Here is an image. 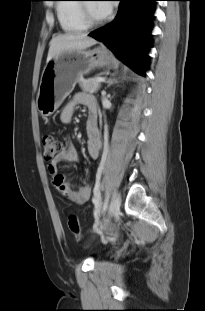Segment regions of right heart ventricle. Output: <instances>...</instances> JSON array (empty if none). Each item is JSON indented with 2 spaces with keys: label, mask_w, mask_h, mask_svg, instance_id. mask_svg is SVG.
I'll return each instance as SVG.
<instances>
[{
  "label": "right heart ventricle",
  "mask_w": 205,
  "mask_h": 311,
  "mask_svg": "<svg viewBox=\"0 0 205 311\" xmlns=\"http://www.w3.org/2000/svg\"><path fill=\"white\" fill-rule=\"evenodd\" d=\"M78 0H61V2H74ZM80 4L59 3L56 13L61 28L67 33H78L87 27L84 25L80 15Z\"/></svg>",
  "instance_id": "e07e8e85"
}]
</instances>
